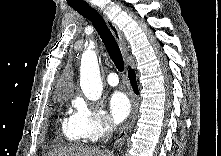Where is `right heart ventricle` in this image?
Segmentation results:
<instances>
[{
    "mask_svg": "<svg viewBox=\"0 0 221 156\" xmlns=\"http://www.w3.org/2000/svg\"><path fill=\"white\" fill-rule=\"evenodd\" d=\"M62 131L65 137L71 142H77L80 139L73 116L65 118L62 122Z\"/></svg>",
    "mask_w": 221,
    "mask_h": 156,
    "instance_id": "1",
    "label": "right heart ventricle"
}]
</instances>
